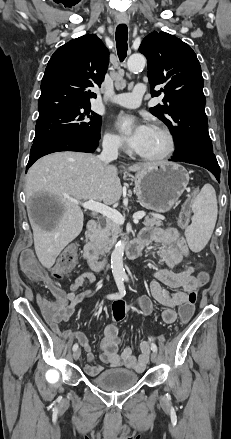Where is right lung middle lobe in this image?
I'll return each instance as SVG.
<instances>
[{"label":"right lung middle lobe","mask_w":231,"mask_h":439,"mask_svg":"<svg viewBox=\"0 0 231 439\" xmlns=\"http://www.w3.org/2000/svg\"><path fill=\"white\" fill-rule=\"evenodd\" d=\"M90 107L67 108L39 117L33 143L56 138L99 140L102 120Z\"/></svg>","instance_id":"dd1d6c3e"}]
</instances>
